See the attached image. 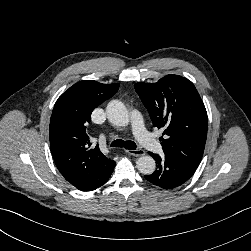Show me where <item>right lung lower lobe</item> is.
<instances>
[{
	"label": "right lung lower lobe",
	"instance_id": "right-lung-lower-lobe-1",
	"mask_svg": "<svg viewBox=\"0 0 251 251\" xmlns=\"http://www.w3.org/2000/svg\"><path fill=\"white\" fill-rule=\"evenodd\" d=\"M115 162L111 160L107 165L94 173L88 180L77 186L82 191H92L106 183L111 176Z\"/></svg>",
	"mask_w": 251,
	"mask_h": 251
}]
</instances>
